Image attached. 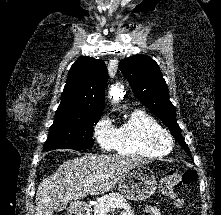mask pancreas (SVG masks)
I'll return each instance as SVG.
<instances>
[{
	"instance_id": "pancreas-1",
	"label": "pancreas",
	"mask_w": 221,
	"mask_h": 215,
	"mask_svg": "<svg viewBox=\"0 0 221 215\" xmlns=\"http://www.w3.org/2000/svg\"><path fill=\"white\" fill-rule=\"evenodd\" d=\"M130 209L128 202L118 193H109L98 199L94 206V215H107L113 209Z\"/></svg>"
}]
</instances>
